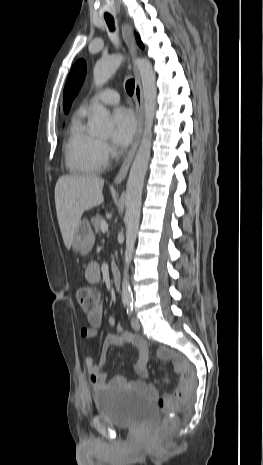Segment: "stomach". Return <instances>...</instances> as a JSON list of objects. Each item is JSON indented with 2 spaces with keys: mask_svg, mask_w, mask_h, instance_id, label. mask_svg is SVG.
<instances>
[{
  "mask_svg": "<svg viewBox=\"0 0 263 465\" xmlns=\"http://www.w3.org/2000/svg\"><path fill=\"white\" fill-rule=\"evenodd\" d=\"M95 236L87 219L80 220L72 241V248L82 255L88 254L94 245Z\"/></svg>",
  "mask_w": 263,
  "mask_h": 465,
  "instance_id": "0dacf381",
  "label": "stomach"
}]
</instances>
